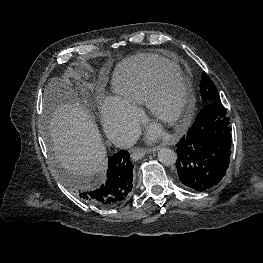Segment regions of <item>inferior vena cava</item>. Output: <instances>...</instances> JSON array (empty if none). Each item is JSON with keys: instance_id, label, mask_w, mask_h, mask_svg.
I'll list each match as a JSON object with an SVG mask.
<instances>
[{"instance_id": "obj_1", "label": "inferior vena cava", "mask_w": 263, "mask_h": 263, "mask_svg": "<svg viewBox=\"0 0 263 263\" xmlns=\"http://www.w3.org/2000/svg\"><path fill=\"white\" fill-rule=\"evenodd\" d=\"M109 137L115 146L125 149L130 148L137 141L136 136L124 123L113 124L109 129Z\"/></svg>"}]
</instances>
